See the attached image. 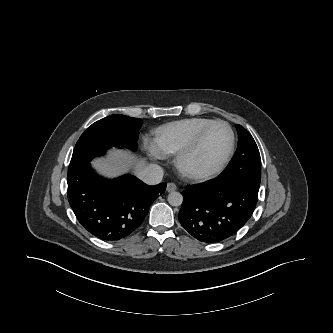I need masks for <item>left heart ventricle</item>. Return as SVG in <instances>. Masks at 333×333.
<instances>
[{
	"label": "left heart ventricle",
	"mask_w": 333,
	"mask_h": 333,
	"mask_svg": "<svg viewBox=\"0 0 333 333\" xmlns=\"http://www.w3.org/2000/svg\"><path fill=\"white\" fill-rule=\"evenodd\" d=\"M230 146V134L223 125H215L203 139L198 150L188 161V165L200 172L215 168L224 158Z\"/></svg>",
	"instance_id": "b2bd125f"
}]
</instances>
